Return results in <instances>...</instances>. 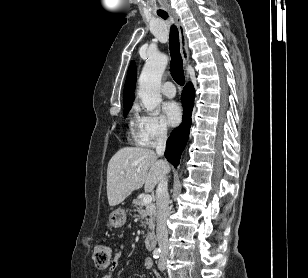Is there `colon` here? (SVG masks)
I'll use <instances>...</instances> for the list:
<instances>
[{
    "mask_svg": "<svg viewBox=\"0 0 308 278\" xmlns=\"http://www.w3.org/2000/svg\"><path fill=\"white\" fill-rule=\"evenodd\" d=\"M93 261L99 270H107L113 263V252L106 245H97L93 250Z\"/></svg>",
    "mask_w": 308,
    "mask_h": 278,
    "instance_id": "obj_1",
    "label": "colon"
}]
</instances>
